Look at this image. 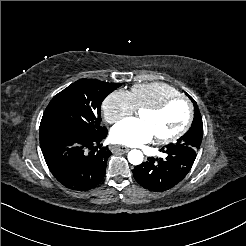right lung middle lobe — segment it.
<instances>
[{"instance_id": "right-lung-middle-lobe-1", "label": "right lung middle lobe", "mask_w": 246, "mask_h": 246, "mask_svg": "<svg viewBox=\"0 0 246 246\" xmlns=\"http://www.w3.org/2000/svg\"><path fill=\"white\" fill-rule=\"evenodd\" d=\"M120 84L80 79L58 93L47 106L40 130L78 129L96 133L101 129V104Z\"/></svg>"}]
</instances>
